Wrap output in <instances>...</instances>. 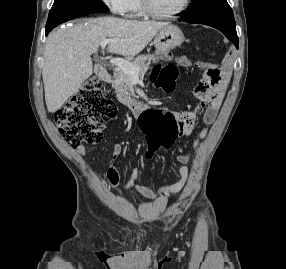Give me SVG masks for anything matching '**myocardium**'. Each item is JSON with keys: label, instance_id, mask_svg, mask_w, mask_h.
I'll use <instances>...</instances> for the list:
<instances>
[{"label": "myocardium", "instance_id": "1", "mask_svg": "<svg viewBox=\"0 0 286 269\" xmlns=\"http://www.w3.org/2000/svg\"><path fill=\"white\" fill-rule=\"evenodd\" d=\"M139 2H140V6H141V10L143 14L153 19H170V18L176 17L179 14H181L183 11H185L190 4V0H184L178 9L172 12H169V13L161 14V13L156 12L153 9L150 3V0H139Z\"/></svg>", "mask_w": 286, "mask_h": 269}]
</instances>
